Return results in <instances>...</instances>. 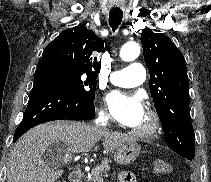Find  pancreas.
Masks as SVG:
<instances>
[{
  "mask_svg": "<svg viewBox=\"0 0 211 182\" xmlns=\"http://www.w3.org/2000/svg\"><path fill=\"white\" fill-rule=\"evenodd\" d=\"M110 159H104L99 165L92 169L85 182H103V177L110 170Z\"/></svg>",
  "mask_w": 211,
  "mask_h": 182,
  "instance_id": "1",
  "label": "pancreas"
}]
</instances>
